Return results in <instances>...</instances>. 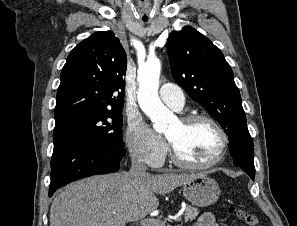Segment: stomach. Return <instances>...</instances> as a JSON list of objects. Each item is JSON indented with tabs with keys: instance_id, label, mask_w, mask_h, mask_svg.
<instances>
[{
	"instance_id": "obj_1",
	"label": "stomach",
	"mask_w": 297,
	"mask_h": 226,
	"mask_svg": "<svg viewBox=\"0 0 297 226\" xmlns=\"http://www.w3.org/2000/svg\"><path fill=\"white\" fill-rule=\"evenodd\" d=\"M183 195L193 205L210 206L218 200L220 187L207 174H198L183 184Z\"/></svg>"
}]
</instances>
